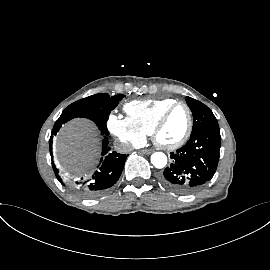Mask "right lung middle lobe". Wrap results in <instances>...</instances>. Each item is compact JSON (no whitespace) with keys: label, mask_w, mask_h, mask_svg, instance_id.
Listing matches in <instances>:
<instances>
[{"label":"right lung middle lobe","mask_w":270,"mask_h":270,"mask_svg":"<svg viewBox=\"0 0 270 270\" xmlns=\"http://www.w3.org/2000/svg\"><path fill=\"white\" fill-rule=\"evenodd\" d=\"M124 97L118 94L109 97L106 93L95 94L70 104L59 119H72L74 117L95 118L107 122L110 112Z\"/></svg>","instance_id":"right-lung-middle-lobe-1"}]
</instances>
